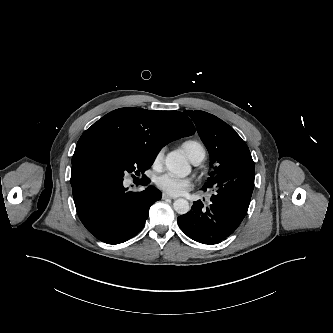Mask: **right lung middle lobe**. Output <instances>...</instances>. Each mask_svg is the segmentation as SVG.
Here are the masks:
<instances>
[{"label":"right lung middle lobe","mask_w":333,"mask_h":333,"mask_svg":"<svg viewBox=\"0 0 333 333\" xmlns=\"http://www.w3.org/2000/svg\"><path fill=\"white\" fill-rule=\"evenodd\" d=\"M157 153L111 142L96 141L82 146L78 159L95 164L117 178L139 175L153 164Z\"/></svg>","instance_id":"dd1d6c3e"}]
</instances>
